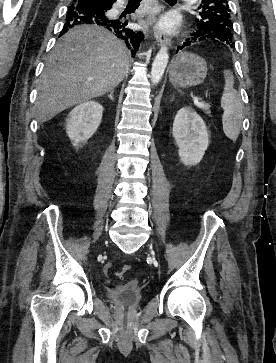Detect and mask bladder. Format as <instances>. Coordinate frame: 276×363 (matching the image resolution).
I'll return each mask as SVG.
<instances>
[{"instance_id":"obj_1","label":"bladder","mask_w":276,"mask_h":363,"mask_svg":"<svg viewBox=\"0 0 276 363\" xmlns=\"http://www.w3.org/2000/svg\"><path fill=\"white\" fill-rule=\"evenodd\" d=\"M108 295L117 303L132 307L140 303L142 289L139 286L125 284L108 289Z\"/></svg>"}]
</instances>
